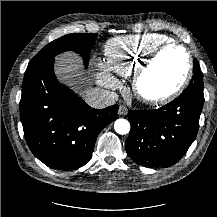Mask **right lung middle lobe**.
Wrapping results in <instances>:
<instances>
[{"label": "right lung middle lobe", "mask_w": 217, "mask_h": 217, "mask_svg": "<svg viewBox=\"0 0 217 217\" xmlns=\"http://www.w3.org/2000/svg\"><path fill=\"white\" fill-rule=\"evenodd\" d=\"M97 33L90 34H69L56 39L43 47L28 64L27 70L44 62L47 59L54 58L57 54L64 51H74L82 55L84 65L89 63V54L91 46L95 42Z\"/></svg>", "instance_id": "obj_1"}]
</instances>
